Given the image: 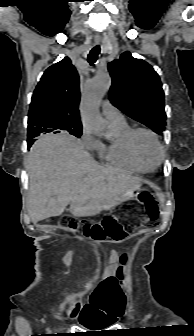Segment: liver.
I'll list each match as a JSON object with an SVG mask.
<instances>
[{
    "mask_svg": "<svg viewBox=\"0 0 194 336\" xmlns=\"http://www.w3.org/2000/svg\"><path fill=\"white\" fill-rule=\"evenodd\" d=\"M28 213L33 223L61 215L67 205L75 217L93 216L141 187L132 173L98 164L74 137L48 135L31 147Z\"/></svg>",
    "mask_w": 194,
    "mask_h": 336,
    "instance_id": "1",
    "label": "liver"
}]
</instances>
